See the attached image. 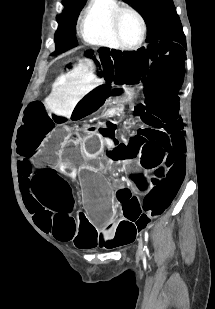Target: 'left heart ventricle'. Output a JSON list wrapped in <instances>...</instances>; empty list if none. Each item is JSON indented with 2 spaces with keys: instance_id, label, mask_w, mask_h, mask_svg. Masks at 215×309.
Instances as JSON below:
<instances>
[{
  "instance_id": "obj_1",
  "label": "left heart ventricle",
  "mask_w": 215,
  "mask_h": 309,
  "mask_svg": "<svg viewBox=\"0 0 215 309\" xmlns=\"http://www.w3.org/2000/svg\"><path fill=\"white\" fill-rule=\"evenodd\" d=\"M123 18L120 20L119 41H126V45L133 44L138 38V25L133 16L127 13H122Z\"/></svg>"
}]
</instances>
